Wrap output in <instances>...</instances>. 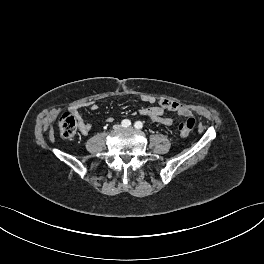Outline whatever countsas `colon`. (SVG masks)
<instances>
[{
  "mask_svg": "<svg viewBox=\"0 0 264 264\" xmlns=\"http://www.w3.org/2000/svg\"><path fill=\"white\" fill-rule=\"evenodd\" d=\"M60 135L64 139L72 138L78 129V119L73 112H65L58 122ZM195 126L194 118H186L179 122L178 131L181 137H188Z\"/></svg>",
  "mask_w": 264,
  "mask_h": 264,
  "instance_id": "5ec220e1",
  "label": "colon"
}]
</instances>
